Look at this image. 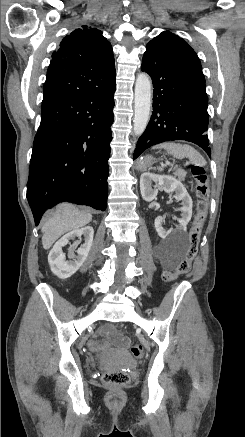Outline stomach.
<instances>
[{
    "instance_id": "0dacf381",
    "label": "stomach",
    "mask_w": 245,
    "mask_h": 437,
    "mask_svg": "<svg viewBox=\"0 0 245 437\" xmlns=\"http://www.w3.org/2000/svg\"><path fill=\"white\" fill-rule=\"evenodd\" d=\"M153 163V157L152 156H145L137 163V169L138 170H145L148 167H150Z\"/></svg>"
}]
</instances>
